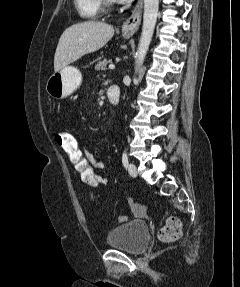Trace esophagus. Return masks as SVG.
<instances>
[{"label": "esophagus", "mask_w": 240, "mask_h": 287, "mask_svg": "<svg viewBox=\"0 0 240 287\" xmlns=\"http://www.w3.org/2000/svg\"><path fill=\"white\" fill-rule=\"evenodd\" d=\"M143 8V0H138L136 6L132 10L131 16L122 25V33L132 36L139 28L141 23Z\"/></svg>", "instance_id": "34e87169"}]
</instances>
